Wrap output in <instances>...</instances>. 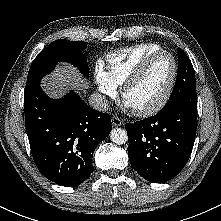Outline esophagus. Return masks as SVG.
<instances>
[{
  "label": "esophagus",
  "mask_w": 221,
  "mask_h": 221,
  "mask_svg": "<svg viewBox=\"0 0 221 221\" xmlns=\"http://www.w3.org/2000/svg\"><path fill=\"white\" fill-rule=\"evenodd\" d=\"M112 124L116 127L121 126L123 124V121L121 119H119L116 116L112 117Z\"/></svg>",
  "instance_id": "34e87169"
}]
</instances>
